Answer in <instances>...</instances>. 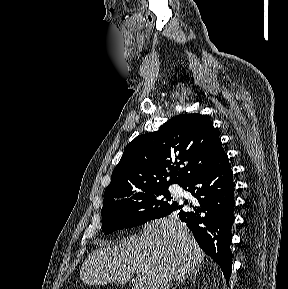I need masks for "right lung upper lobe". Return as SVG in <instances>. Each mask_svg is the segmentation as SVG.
<instances>
[{
    "label": "right lung upper lobe",
    "mask_w": 288,
    "mask_h": 289,
    "mask_svg": "<svg viewBox=\"0 0 288 289\" xmlns=\"http://www.w3.org/2000/svg\"><path fill=\"white\" fill-rule=\"evenodd\" d=\"M222 152L219 135L204 115L173 117L158 131L140 135L126 146L104 198L173 183L182 185Z\"/></svg>",
    "instance_id": "right-lung-upper-lobe-1"
}]
</instances>
